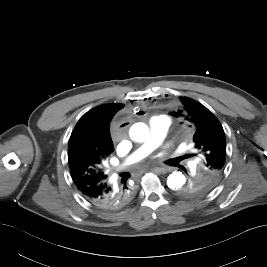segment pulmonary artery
Instances as JSON below:
<instances>
[{"label": "pulmonary artery", "mask_w": 267, "mask_h": 267, "mask_svg": "<svg viewBox=\"0 0 267 267\" xmlns=\"http://www.w3.org/2000/svg\"><path fill=\"white\" fill-rule=\"evenodd\" d=\"M170 128V120L165 115H159L153 117L149 122V136L146 141L134 151L126 160L124 165H129L137 162L153 150L158 148L165 139Z\"/></svg>", "instance_id": "1"}]
</instances>
